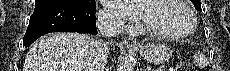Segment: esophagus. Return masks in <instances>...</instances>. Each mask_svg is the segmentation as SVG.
<instances>
[{
  "instance_id": "esophagus-1",
  "label": "esophagus",
  "mask_w": 230,
  "mask_h": 71,
  "mask_svg": "<svg viewBox=\"0 0 230 71\" xmlns=\"http://www.w3.org/2000/svg\"><path fill=\"white\" fill-rule=\"evenodd\" d=\"M124 44L129 48H138V47H140V45L136 42V40L131 38V37H126L124 39Z\"/></svg>"
}]
</instances>
